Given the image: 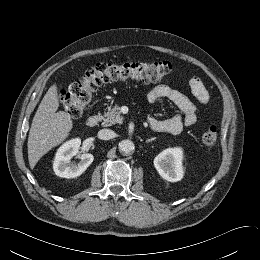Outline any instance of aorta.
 Segmentation results:
<instances>
[{"label":"aorta","instance_id":"762f6f07","mask_svg":"<svg viewBox=\"0 0 260 260\" xmlns=\"http://www.w3.org/2000/svg\"><path fill=\"white\" fill-rule=\"evenodd\" d=\"M119 151L124 154H131L135 149V145L131 140H122L118 145Z\"/></svg>","mask_w":260,"mask_h":260}]
</instances>
